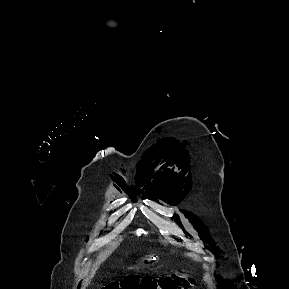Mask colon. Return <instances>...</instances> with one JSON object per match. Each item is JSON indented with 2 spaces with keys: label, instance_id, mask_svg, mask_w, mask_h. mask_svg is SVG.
<instances>
[{
  "label": "colon",
  "instance_id": "5ec220e1",
  "mask_svg": "<svg viewBox=\"0 0 289 289\" xmlns=\"http://www.w3.org/2000/svg\"><path fill=\"white\" fill-rule=\"evenodd\" d=\"M192 280L182 276H164L159 280L140 277H126L121 281L111 282L102 289H189Z\"/></svg>",
  "mask_w": 289,
  "mask_h": 289
}]
</instances>
